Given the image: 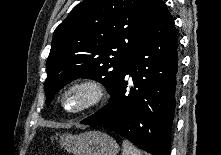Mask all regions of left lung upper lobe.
Instances as JSON below:
<instances>
[{"label": "left lung upper lobe", "mask_w": 221, "mask_h": 155, "mask_svg": "<svg viewBox=\"0 0 221 155\" xmlns=\"http://www.w3.org/2000/svg\"><path fill=\"white\" fill-rule=\"evenodd\" d=\"M164 5L162 0H84L76 5L54 31L44 85L46 104L80 77L103 83L111 94Z\"/></svg>", "instance_id": "5c2ea615"}]
</instances>
